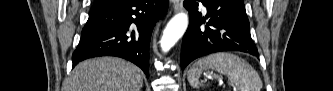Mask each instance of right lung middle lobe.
I'll return each instance as SVG.
<instances>
[{
	"mask_svg": "<svg viewBox=\"0 0 333 91\" xmlns=\"http://www.w3.org/2000/svg\"><path fill=\"white\" fill-rule=\"evenodd\" d=\"M117 1L119 0H95L94 5H106Z\"/></svg>",
	"mask_w": 333,
	"mask_h": 91,
	"instance_id": "right-lung-middle-lobe-1",
	"label": "right lung middle lobe"
}]
</instances>
